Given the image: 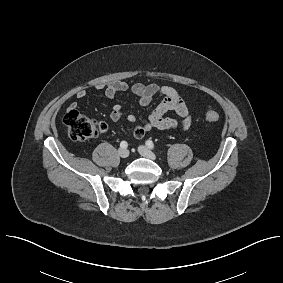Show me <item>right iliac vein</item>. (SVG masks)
<instances>
[{
    "label": "right iliac vein",
    "mask_w": 283,
    "mask_h": 283,
    "mask_svg": "<svg viewBox=\"0 0 283 283\" xmlns=\"http://www.w3.org/2000/svg\"><path fill=\"white\" fill-rule=\"evenodd\" d=\"M118 154L122 158H127L129 156V151L127 149L121 148L118 150Z\"/></svg>",
    "instance_id": "1"
}]
</instances>
